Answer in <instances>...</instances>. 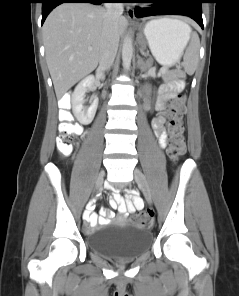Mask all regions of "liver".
Masks as SVG:
<instances>
[{"label": "liver", "instance_id": "1", "mask_svg": "<svg viewBox=\"0 0 239 296\" xmlns=\"http://www.w3.org/2000/svg\"><path fill=\"white\" fill-rule=\"evenodd\" d=\"M107 25L106 9L90 3H64L48 15L42 29L43 41L57 98L97 67ZM115 26L122 36L126 18L121 16Z\"/></svg>", "mask_w": 239, "mask_h": 296}]
</instances>
